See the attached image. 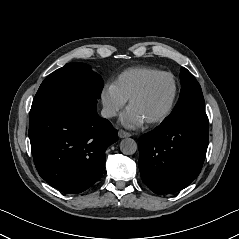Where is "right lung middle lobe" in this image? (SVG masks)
Returning <instances> with one entry per match:
<instances>
[{
    "label": "right lung middle lobe",
    "mask_w": 239,
    "mask_h": 239,
    "mask_svg": "<svg viewBox=\"0 0 239 239\" xmlns=\"http://www.w3.org/2000/svg\"><path fill=\"white\" fill-rule=\"evenodd\" d=\"M103 79L84 63H68L51 73L40 85L32 102L35 110L49 99L71 92H81L100 98Z\"/></svg>",
    "instance_id": "dd1d6c3e"
}]
</instances>
